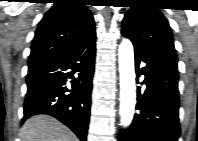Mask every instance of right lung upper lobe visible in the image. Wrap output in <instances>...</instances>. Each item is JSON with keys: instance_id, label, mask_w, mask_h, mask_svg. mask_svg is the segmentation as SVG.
<instances>
[{"instance_id": "cb5924a9", "label": "right lung upper lobe", "mask_w": 198, "mask_h": 141, "mask_svg": "<svg viewBox=\"0 0 198 141\" xmlns=\"http://www.w3.org/2000/svg\"><path fill=\"white\" fill-rule=\"evenodd\" d=\"M39 23L28 65L66 52L95 33L94 20L83 0H57Z\"/></svg>"}]
</instances>
